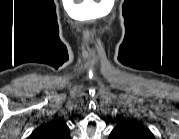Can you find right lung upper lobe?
<instances>
[{"label":"right lung upper lobe","instance_id":"cb5924a9","mask_svg":"<svg viewBox=\"0 0 179 139\" xmlns=\"http://www.w3.org/2000/svg\"><path fill=\"white\" fill-rule=\"evenodd\" d=\"M32 139H70L68 126L61 120H53L33 131Z\"/></svg>","mask_w":179,"mask_h":139}]
</instances>
